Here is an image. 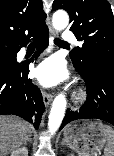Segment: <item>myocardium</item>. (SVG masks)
<instances>
[{"mask_svg": "<svg viewBox=\"0 0 114 156\" xmlns=\"http://www.w3.org/2000/svg\"><path fill=\"white\" fill-rule=\"evenodd\" d=\"M83 97L82 93H78L77 96H76V99L77 100H81Z\"/></svg>", "mask_w": 114, "mask_h": 156, "instance_id": "obj_1", "label": "myocardium"}]
</instances>
